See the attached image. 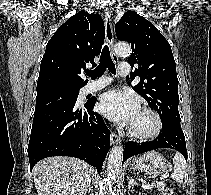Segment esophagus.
Wrapping results in <instances>:
<instances>
[{
    "instance_id": "obj_1",
    "label": "esophagus",
    "mask_w": 211,
    "mask_h": 195,
    "mask_svg": "<svg viewBox=\"0 0 211 195\" xmlns=\"http://www.w3.org/2000/svg\"><path fill=\"white\" fill-rule=\"evenodd\" d=\"M105 35H106L107 44L111 50L112 59L115 62H117L118 56L113 51L114 35H113L111 13L108 9H106V12H105ZM110 138L113 144L120 143V138L115 133L112 132Z\"/></svg>"
}]
</instances>
